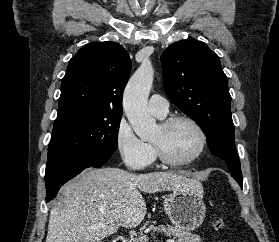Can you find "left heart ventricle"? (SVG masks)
I'll return each instance as SVG.
<instances>
[{
    "label": "left heart ventricle",
    "instance_id": "b2bd125f",
    "mask_svg": "<svg viewBox=\"0 0 279 242\" xmlns=\"http://www.w3.org/2000/svg\"><path fill=\"white\" fill-rule=\"evenodd\" d=\"M152 141L160 142L171 158L185 160L198 149L199 135L191 124L179 121L174 123L166 132H162L158 127Z\"/></svg>",
    "mask_w": 279,
    "mask_h": 242
}]
</instances>
